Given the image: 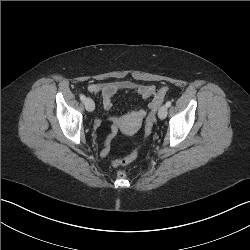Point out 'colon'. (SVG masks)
Instances as JSON below:
<instances>
[{
	"label": "colon",
	"instance_id": "1",
	"mask_svg": "<svg viewBox=\"0 0 250 250\" xmlns=\"http://www.w3.org/2000/svg\"><path fill=\"white\" fill-rule=\"evenodd\" d=\"M168 91L167 86H163L156 90L155 95L150 104V111L145 121V139L148 138L152 132L153 126L155 124V113L158 107L162 104L165 95ZM119 130V123L113 122L109 132L106 134L105 138L103 139L102 143V150H101V157H107L112 144L114 143L116 137L115 135L118 134ZM141 146L136 147L129 155L124 157L121 160H113L111 163L113 166H128L131 164L138 156ZM117 176L119 178L126 177V171L124 169H119L117 172Z\"/></svg>",
	"mask_w": 250,
	"mask_h": 250
}]
</instances>
